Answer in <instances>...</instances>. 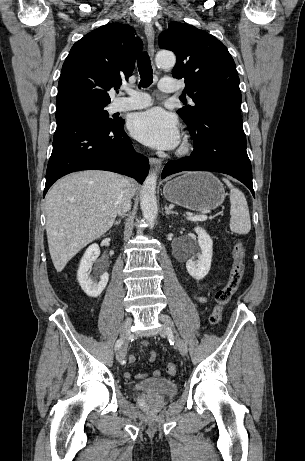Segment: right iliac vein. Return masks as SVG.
I'll list each match as a JSON object with an SVG mask.
<instances>
[{"label":"right iliac vein","instance_id":"obj_1","mask_svg":"<svg viewBox=\"0 0 305 461\" xmlns=\"http://www.w3.org/2000/svg\"><path fill=\"white\" fill-rule=\"evenodd\" d=\"M131 325H132V319L130 317H127L124 320V322L122 324V327L120 329V337L123 340V343H122V345L119 347V349L117 351L116 358L121 363L124 362V360L126 358V354H127L126 341L130 336Z\"/></svg>","mask_w":305,"mask_h":461}]
</instances>
